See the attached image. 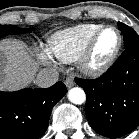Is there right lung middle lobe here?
<instances>
[{
	"label": "right lung middle lobe",
	"mask_w": 139,
	"mask_h": 139,
	"mask_svg": "<svg viewBox=\"0 0 139 139\" xmlns=\"http://www.w3.org/2000/svg\"><path fill=\"white\" fill-rule=\"evenodd\" d=\"M32 29H23L14 25H0V38L8 34L29 33Z\"/></svg>",
	"instance_id": "dd1d6c3e"
}]
</instances>
